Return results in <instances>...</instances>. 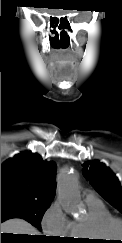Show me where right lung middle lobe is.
<instances>
[{"label": "right lung middle lobe", "instance_id": "dd1d6c3e", "mask_svg": "<svg viewBox=\"0 0 122 243\" xmlns=\"http://www.w3.org/2000/svg\"><path fill=\"white\" fill-rule=\"evenodd\" d=\"M50 204L20 196H1V217L22 218L41 231V220Z\"/></svg>", "mask_w": 122, "mask_h": 243}]
</instances>
